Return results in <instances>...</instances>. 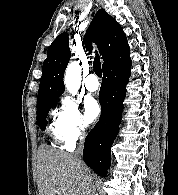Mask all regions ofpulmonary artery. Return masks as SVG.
<instances>
[{"mask_svg": "<svg viewBox=\"0 0 178 195\" xmlns=\"http://www.w3.org/2000/svg\"><path fill=\"white\" fill-rule=\"evenodd\" d=\"M85 87L90 92H95L99 89V81L95 74H89L86 77Z\"/></svg>", "mask_w": 178, "mask_h": 195, "instance_id": "e3ab8cb5", "label": "pulmonary artery"}]
</instances>
